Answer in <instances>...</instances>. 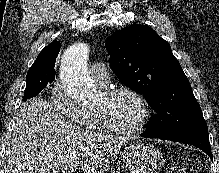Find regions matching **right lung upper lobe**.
<instances>
[{"mask_svg":"<svg viewBox=\"0 0 219 173\" xmlns=\"http://www.w3.org/2000/svg\"><path fill=\"white\" fill-rule=\"evenodd\" d=\"M60 48L61 44L57 41H53L39 53L32 67H39L44 70V72L55 76V61Z\"/></svg>","mask_w":219,"mask_h":173,"instance_id":"cb5924a9","label":"right lung upper lobe"}]
</instances>
